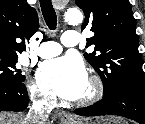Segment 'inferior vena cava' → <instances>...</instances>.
Wrapping results in <instances>:
<instances>
[{
	"label": "inferior vena cava",
	"instance_id": "602c4592",
	"mask_svg": "<svg viewBox=\"0 0 145 124\" xmlns=\"http://www.w3.org/2000/svg\"><path fill=\"white\" fill-rule=\"evenodd\" d=\"M45 100L34 101L33 109L25 118V124H46L48 119L47 105Z\"/></svg>",
	"mask_w": 145,
	"mask_h": 124
}]
</instances>
